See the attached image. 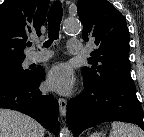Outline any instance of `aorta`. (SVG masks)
<instances>
[{"label": "aorta", "mask_w": 144, "mask_h": 137, "mask_svg": "<svg viewBox=\"0 0 144 137\" xmlns=\"http://www.w3.org/2000/svg\"><path fill=\"white\" fill-rule=\"evenodd\" d=\"M81 29V23L76 19H67L63 23V30L67 33H76ZM60 137H72L71 131L67 127L60 129Z\"/></svg>", "instance_id": "obj_1"}]
</instances>
